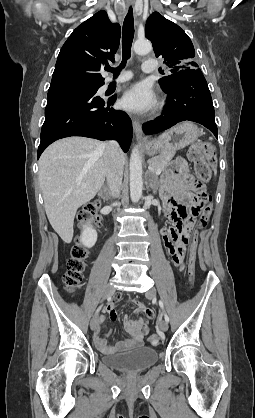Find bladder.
I'll return each instance as SVG.
<instances>
[{
	"mask_svg": "<svg viewBox=\"0 0 255 418\" xmlns=\"http://www.w3.org/2000/svg\"><path fill=\"white\" fill-rule=\"evenodd\" d=\"M158 358L157 350L137 346L125 352L105 355L102 360L106 365L121 371L139 372L155 364Z\"/></svg>",
	"mask_w": 255,
	"mask_h": 418,
	"instance_id": "obj_1",
	"label": "bladder"
}]
</instances>
